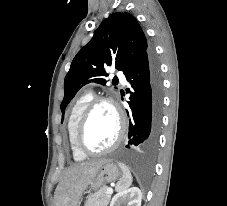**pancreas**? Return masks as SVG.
Masks as SVG:
<instances>
[{
  "instance_id": "obj_1",
  "label": "pancreas",
  "mask_w": 227,
  "mask_h": 206,
  "mask_svg": "<svg viewBox=\"0 0 227 206\" xmlns=\"http://www.w3.org/2000/svg\"><path fill=\"white\" fill-rule=\"evenodd\" d=\"M107 190L108 187L103 186L95 193L90 194L84 206H107L111 199V194H108Z\"/></svg>"
}]
</instances>
